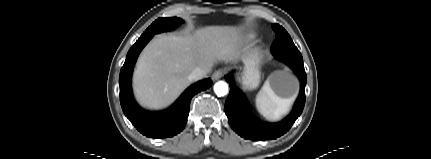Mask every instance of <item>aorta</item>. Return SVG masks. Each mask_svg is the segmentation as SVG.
Listing matches in <instances>:
<instances>
[{
    "mask_svg": "<svg viewBox=\"0 0 431 159\" xmlns=\"http://www.w3.org/2000/svg\"><path fill=\"white\" fill-rule=\"evenodd\" d=\"M214 92L218 96H225L228 93V84L224 81H218L214 85Z\"/></svg>",
    "mask_w": 431,
    "mask_h": 159,
    "instance_id": "762f6f07",
    "label": "aorta"
}]
</instances>
